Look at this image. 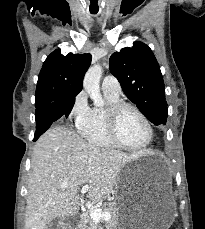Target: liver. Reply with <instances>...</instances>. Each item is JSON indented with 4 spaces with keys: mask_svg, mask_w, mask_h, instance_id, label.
<instances>
[{
    "mask_svg": "<svg viewBox=\"0 0 205 229\" xmlns=\"http://www.w3.org/2000/svg\"><path fill=\"white\" fill-rule=\"evenodd\" d=\"M137 157L87 143L66 126L51 127L34 146L25 229H47L51 220L76 214L86 183L93 202L114 193L122 168Z\"/></svg>",
    "mask_w": 205,
    "mask_h": 229,
    "instance_id": "1",
    "label": "liver"
}]
</instances>
